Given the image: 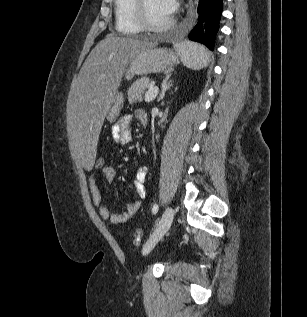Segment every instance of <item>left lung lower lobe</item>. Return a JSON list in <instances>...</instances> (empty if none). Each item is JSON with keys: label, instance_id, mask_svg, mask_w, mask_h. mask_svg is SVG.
Listing matches in <instances>:
<instances>
[{"label": "left lung lower lobe", "instance_id": "obj_1", "mask_svg": "<svg viewBox=\"0 0 307 317\" xmlns=\"http://www.w3.org/2000/svg\"><path fill=\"white\" fill-rule=\"evenodd\" d=\"M197 13V24L190 31L189 39L200 42L213 50L222 14V0H199Z\"/></svg>", "mask_w": 307, "mask_h": 317}]
</instances>
